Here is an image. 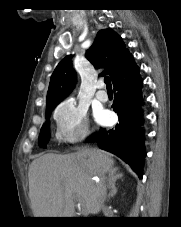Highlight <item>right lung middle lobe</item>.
<instances>
[{
  "label": "right lung middle lobe",
  "instance_id": "1",
  "mask_svg": "<svg viewBox=\"0 0 181 227\" xmlns=\"http://www.w3.org/2000/svg\"><path fill=\"white\" fill-rule=\"evenodd\" d=\"M55 106L56 105L46 107V121H49L50 114ZM49 139H50L49 124H44L39 136L40 146L43 148H47V143L49 142Z\"/></svg>",
  "mask_w": 181,
  "mask_h": 227
}]
</instances>
